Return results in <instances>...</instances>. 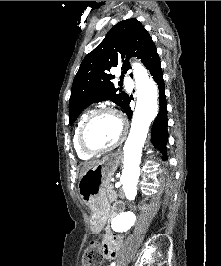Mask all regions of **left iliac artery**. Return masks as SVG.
Instances as JSON below:
<instances>
[{
    "mask_svg": "<svg viewBox=\"0 0 221 266\" xmlns=\"http://www.w3.org/2000/svg\"><path fill=\"white\" fill-rule=\"evenodd\" d=\"M111 266H116V265H115V263L113 262V263L111 264Z\"/></svg>",
    "mask_w": 221,
    "mask_h": 266,
    "instance_id": "obj_1",
    "label": "left iliac artery"
}]
</instances>
